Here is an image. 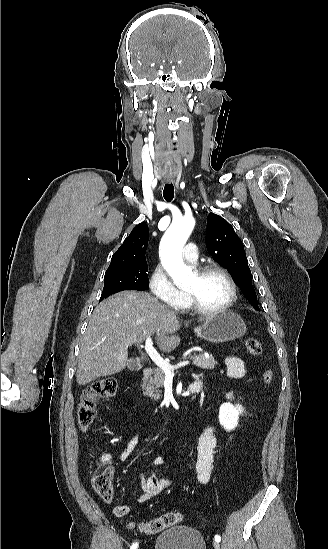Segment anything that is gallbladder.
Instances as JSON below:
<instances>
[{"label": "gallbladder", "instance_id": "obj_1", "mask_svg": "<svg viewBox=\"0 0 328 549\" xmlns=\"http://www.w3.org/2000/svg\"><path fill=\"white\" fill-rule=\"evenodd\" d=\"M142 363L143 359H130L127 369H129V371H140L143 367Z\"/></svg>", "mask_w": 328, "mask_h": 549}]
</instances>
